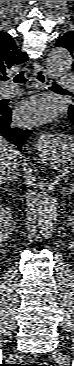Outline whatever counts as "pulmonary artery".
I'll return each instance as SVG.
<instances>
[{
	"label": "pulmonary artery",
	"instance_id": "1",
	"mask_svg": "<svg viewBox=\"0 0 74 366\" xmlns=\"http://www.w3.org/2000/svg\"><path fill=\"white\" fill-rule=\"evenodd\" d=\"M59 79V85L61 88H71L74 85V81L72 78H70L69 76L65 75V74H60L58 76ZM19 89L15 86H7L6 88L3 89L2 91V95L4 97H13L15 95H17L19 93Z\"/></svg>",
	"mask_w": 74,
	"mask_h": 366
}]
</instances>
